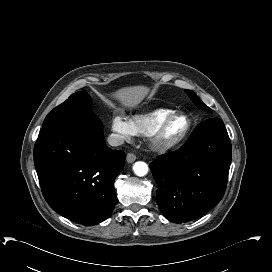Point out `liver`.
<instances>
[{"mask_svg":"<svg viewBox=\"0 0 272 272\" xmlns=\"http://www.w3.org/2000/svg\"><path fill=\"white\" fill-rule=\"evenodd\" d=\"M148 90L144 86L124 87L112 93V97L125 107H135L144 99Z\"/></svg>","mask_w":272,"mask_h":272,"instance_id":"liver-1","label":"liver"}]
</instances>
